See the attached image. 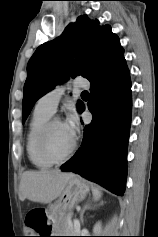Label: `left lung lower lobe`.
Wrapping results in <instances>:
<instances>
[{
    "instance_id": "obj_1",
    "label": "left lung lower lobe",
    "mask_w": 158,
    "mask_h": 237,
    "mask_svg": "<svg viewBox=\"0 0 158 237\" xmlns=\"http://www.w3.org/2000/svg\"><path fill=\"white\" fill-rule=\"evenodd\" d=\"M88 109L93 115L84 128L80 149L62 165L122 195L126 181L127 143L131 122V81L125 59L91 83ZM82 104L79 111H83Z\"/></svg>"
}]
</instances>
